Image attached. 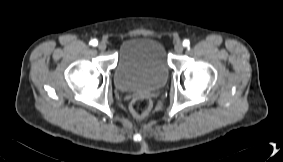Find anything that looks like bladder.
<instances>
[{
	"instance_id": "obj_1",
	"label": "bladder",
	"mask_w": 283,
	"mask_h": 162,
	"mask_svg": "<svg viewBox=\"0 0 283 162\" xmlns=\"http://www.w3.org/2000/svg\"><path fill=\"white\" fill-rule=\"evenodd\" d=\"M170 67L164 46L150 37H132L119 49L113 82L120 91L154 90L163 86Z\"/></svg>"
}]
</instances>
